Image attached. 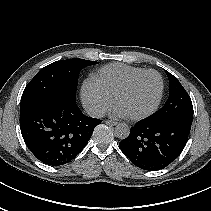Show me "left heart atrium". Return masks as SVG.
Wrapping results in <instances>:
<instances>
[{
  "label": "left heart atrium",
  "mask_w": 211,
  "mask_h": 211,
  "mask_svg": "<svg viewBox=\"0 0 211 211\" xmlns=\"http://www.w3.org/2000/svg\"><path fill=\"white\" fill-rule=\"evenodd\" d=\"M109 114L113 117L124 118L127 117V113L116 103H114L110 109Z\"/></svg>",
  "instance_id": "left-heart-atrium-1"
}]
</instances>
